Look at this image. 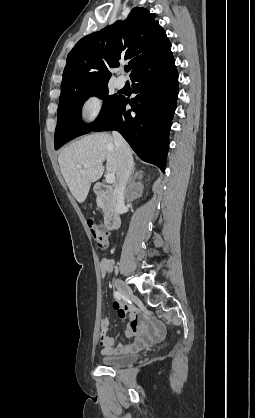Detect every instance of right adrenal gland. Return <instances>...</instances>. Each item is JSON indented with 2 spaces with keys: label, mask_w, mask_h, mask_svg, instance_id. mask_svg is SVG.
Instances as JSON below:
<instances>
[{
  "label": "right adrenal gland",
  "mask_w": 255,
  "mask_h": 418,
  "mask_svg": "<svg viewBox=\"0 0 255 418\" xmlns=\"http://www.w3.org/2000/svg\"><path fill=\"white\" fill-rule=\"evenodd\" d=\"M134 171H135V166L133 167L132 175L129 179V183H131L135 178L141 179L143 177V171H138L135 174H134Z\"/></svg>",
  "instance_id": "2a0ac1e0"
}]
</instances>
